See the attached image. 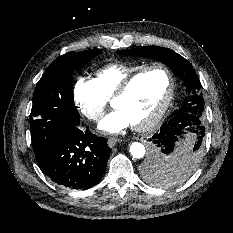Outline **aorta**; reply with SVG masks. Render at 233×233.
<instances>
[{"label": "aorta", "mask_w": 233, "mask_h": 233, "mask_svg": "<svg viewBox=\"0 0 233 233\" xmlns=\"http://www.w3.org/2000/svg\"><path fill=\"white\" fill-rule=\"evenodd\" d=\"M130 153L134 158H143L146 153L145 146L139 142H133L130 146Z\"/></svg>", "instance_id": "762f6f07"}]
</instances>
